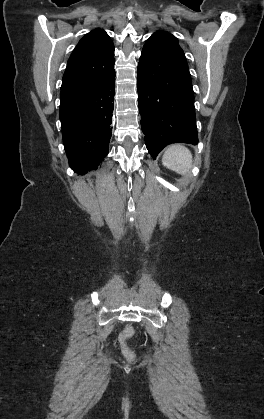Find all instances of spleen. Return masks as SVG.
Segmentation results:
<instances>
[{"mask_svg": "<svg viewBox=\"0 0 264 419\" xmlns=\"http://www.w3.org/2000/svg\"><path fill=\"white\" fill-rule=\"evenodd\" d=\"M192 154L188 148L181 144L169 146L163 157L162 164L178 174L187 175L192 168Z\"/></svg>", "mask_w": 264, "mask_h": 419, "instance_id": "3e777b00", "label": "spleen"}]
</instances>
